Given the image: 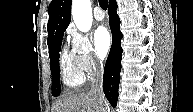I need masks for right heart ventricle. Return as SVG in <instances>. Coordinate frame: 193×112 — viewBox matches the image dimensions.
Returning a JSON list of instances; mask_svg holds the SVG:
<instances>
[{
  "instance_id": "obj_1",
  "label": "right heart ventricle",
  "mask_w": 193,
  "mask_h": 112,
  "mask_svg": "<svg viewBox=\"0 0 193 112\" xmlns=\"http://www.w3.org/2000/svg\"><path fill=\"white\" fill-rule=\"evenodd\" d=\"M59 65L62 82L67 88L76 89L84 83L85 76L78 67L72 51H62Z\"/></svg>"
}]
</instances>
